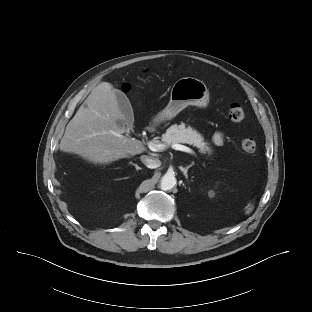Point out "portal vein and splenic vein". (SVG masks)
<instances>
[{
  "label": "portal vein and splenic vein",
  "mask_w": 312,
  "mask_h": 312,
  "mask_svg": "<svg viewBox=\"0 0 312 312\" xmlns=\"http://www.w3.org/2000/svg\"><path fill=\"white\" fill-rule=\"evenodd\" d=\"M147 145L151 151L155 152L163 151L166 147L164 144H160L157 141H148ZM172 148L189 154H194V151L191 148L181 144H174L172 145Z\"/></svg>",
  "instance_id": "18ae733b"
}]
</instances>
